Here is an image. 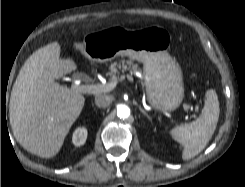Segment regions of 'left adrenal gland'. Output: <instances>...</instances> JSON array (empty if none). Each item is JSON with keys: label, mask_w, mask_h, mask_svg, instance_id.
Instances as JSON below:
<instances>
[{"label": "left adrenal gland", "mask_w": 245, "mask_h": 187, "mask_svg": "<svg viewBox=\"0 0 245 187\" xmlns=\"http://www.w3.org/2000/svg\"><path fill=\"white\" fill-rule=\"evenodd\" d=\"M139 110L151 121L150 115L141 106H139Z\"/></svg>", "instance_id": "1"}]
</instances>
